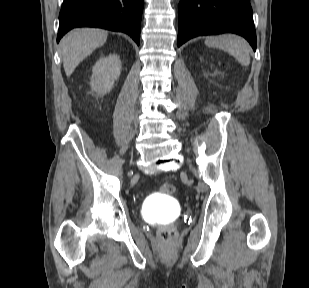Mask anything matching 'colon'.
<instances>
[{"instance_id":"colon-1","label":"colon","mask_w":309,"mask_h":288,"mask_svg":"<svg viewBox=\"0 0 309 288\" xmlns=\"http://www.w3.org/2000/svg\"><path fill=\"white\" fill-rule=\"evenodd\" d=\"M161 190L164 194H170L172 195L175 192V187L172 184L169 183H164L161 186ZM175 236V230L171 226H165L161 231H160V238L163 241H169L173 239Z\"/></svg>"}]
</instances>
